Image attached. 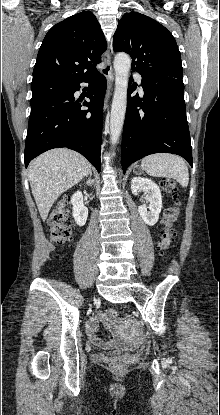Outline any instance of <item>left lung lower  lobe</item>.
I'll use <instances>...</instances> for the list:
<instances>
[{
  "instance_id": "1",
  "label": "left lung lower lobe",
  "mask_w": 220,
  "mask_h": 415,
  "mask_svg": "<svg viewBox=\"0 0 220 415\" xmlns=\"http://www.w3.org/2000/svg\"><path fill=\"white\" fill-rule=\"evenodd\" d=\"M140 75L143 98L131 97L134 87L128 88L121 147L123 173L133 162L161 152L180 155L193 166L182 78Z\"/></svg>"
}]
</instances>
